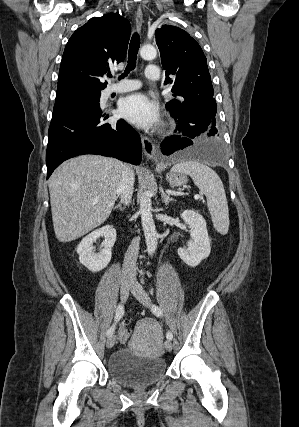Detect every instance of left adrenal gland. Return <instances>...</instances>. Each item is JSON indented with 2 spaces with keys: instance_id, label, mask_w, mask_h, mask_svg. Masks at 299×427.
I'll use <instances>...</instances> for the list:
<instances>
[{
  "instance_id": "1",
  "label": "left adrenal gland",
  "mask_w": 299,
  "mask_h": 427,
  "mask_svg": "<svg viewBox=\"0 0 299 427\" xmlns=\"http://www.w3.org/2000/svg\"><path fill=\"white\" fill-rule=\"evenodd\" d=\"M162 197V202L165 203L166 205L169 204V202L175 201L173 198H171L168 194H166L165 192L162 193L161 195Z\"/></svg>"
}]
</instances>
